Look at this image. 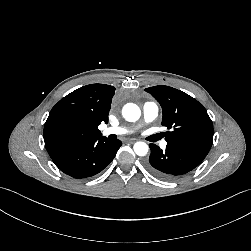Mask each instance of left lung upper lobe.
I'll list each match as a JSON object with an SVG mask.
<instances>
[{
	"mask_svg": "<svg viewBox=\"0 0 251 251\" xmlns=\"http://www.w3.org/2000/svg\"><path fill=\"white\" fill-rule=\"evenodd\" d=\"M162 106V125L169 144L188 146L208 154L213 142V124L206 109L193 97L175 88L159 85L145 89Z\"/></svg>",
	"mask_w": 251,
	"mask_h": 251,
	"instance_id": "left-lung-upper-lobe-1",
	"label": "left lung upper lobe"
}]
</instances>
